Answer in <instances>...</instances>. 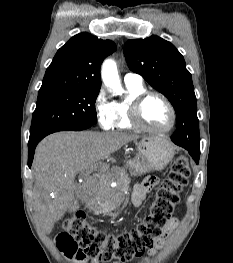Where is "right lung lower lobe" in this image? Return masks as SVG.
I'll return each instance as SVG.
<instances>
[{
    "mask_svg": "<svg viewBox=\"0 0 233 263\" xmlns=\"http://www.w3.org/2000/svg\"><path fill=\"white\" fill-rule=\"evenodd\" d=\"M91 125H81V126H75V127H65V128H61L59 130L56 131H52L49 133H46L40 137H38L35 140L29 141L28 143V166L31 167L32 161H33V156H34V150L37 146V144L48 134H51L53 132H57V131H80V130H84L89 128Z\"/></svg>",
    "mask_w": 233,
    "mask_h": 263,
    "instance_id": "obj_1",
    "label": "right lung lower lobe"
}]
</instances>
